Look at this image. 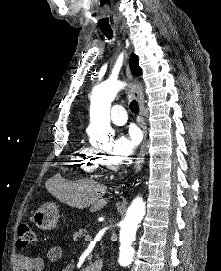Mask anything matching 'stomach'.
I'll use <instances>...</instances> for the list:
<instances>
[{
    "label": "stomach",
    "instance_id": "stomach-1",
    "mask_svg": "<svg viewBox=\"0 0 221 271\" xmlns=\"http://www.w3.org/2000/svg\"><path fill=\"white\" fill-rule=\"evenodd\" d=\"M58 217V205L49 201V203H44L39 209H36L32 221L41 229H52V227H56Z\"/></svg>",
    "mask_w": 221,
    "mask_h": 271
}]
</instances>
